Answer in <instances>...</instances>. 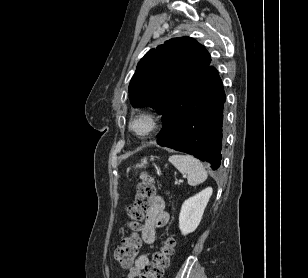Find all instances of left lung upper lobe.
I'll list each match as a JSON object with an SVG mask.
<instances>
[{"mask_svg":"<svg viewBox=\"0 0 308 278\" xmlns=\"http://www.w3.org/2000/svg\"><path fill=\"white\" fill-rule=\"evenodd\" d=\"M208 51L190 37H179L149 50L129 84L133 107H152L163 114L182 89L210 66Z\"/></svg>","mask_w":308,"mask_h":278,"instance_id":"5c2ea615","label":"left lung upper lobe"}]
</instances>
